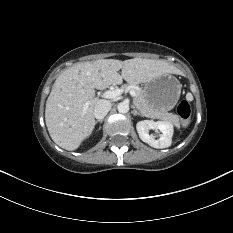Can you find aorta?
<instances>
[{"label":"aorta","instance_id":"obj_1","mask_svg":"<svg viewBox=\"0 0 233 233\" xmlns=\"http://www.w3.org/2000/svg\"><path fill=\"white\" fill-rule=\"evenodd\" d=\"M117 109L119 113L125 114L129 111V104L126 102H121L118 104Z\"/></svg>","mask_w":233,"mask_h":233}]
</instances>
